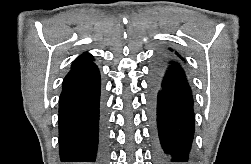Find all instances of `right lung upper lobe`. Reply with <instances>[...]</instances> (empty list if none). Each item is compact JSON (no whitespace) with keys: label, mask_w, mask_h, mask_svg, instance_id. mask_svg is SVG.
Segmentation results:
<instances>
[{"label":"right lung upper lobe","mask_w":251,"mask_h":164,"mask_svg":"<svg viewBox=\"0 0 251 164\" xmlns=\"http://www.w3.org/2000/svg\"><path fill=\"white\" fill-rule=\"evenodd\" d=\"M92 61H93V56L90 55L89 53H84V54L80 55L79 57H77L73 61L71 69L76 68V67H80L83 65L91 64V63H93Z\"/></svg>","instance_id":"right-lung-upper-lobe-1"}]
</instances>
